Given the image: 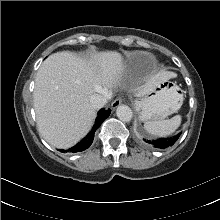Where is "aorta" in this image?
I'll use <instances>...</instances> for the list:
<instances>
[{"label": "aorta", "instance_id": "1", "mask_svg": "<svg viewBox=\"0 0 220 220\" xmlns=\"http://www.w3.org/2000/svg\"><path fill=\"white\" fill-rule=\"evenodd\" d=\"M117 117L123 122H129L133 117V112L127 105H120L116 109Z\"/></svg>", "mask_w": 220, "mask_h": 220}]
</instances>
